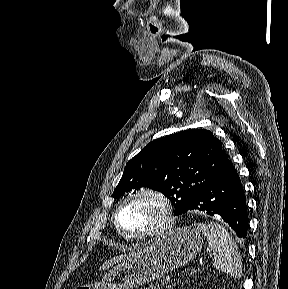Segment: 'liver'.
Instances as JSON below:
<instances>
[{
  "mask_svg": "<svg viewBox=\"0 0 288 289\" xmlns=\"http://www.w3.org/2000/svg\"><path fill=\"white\" fill-rule=\"evenodd\" d=\"M135 254H136V253H130V254H128V255H120V256H118V257H116V258H113L112 260L105 262V263L100 267V270H105V269L109 268L110 266H112V265H114V264H116V263H118V262H120V261H123V260H125V259H129V258L133 257Z\"/></svg>",
  "mask_w": 288,
  "mask_h": 289,
  "instance_id": "6515ba94",
  "label": "liver"
}]
</instances>
